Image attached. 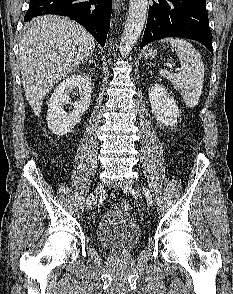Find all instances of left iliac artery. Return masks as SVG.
I'll use <instances>...</instances> for the list:
<instances>
[{
    "instance_id": "obj_1",
    "label": "left iliac artery",
    "mask_w": 233,
    "mask_h": 294,
    "mask_svg": "<svg viewBox=\"0 0 233 294\" xmlns=\"http://www.w3.org/2000/svg\"><path fill=\"white\" fill-rule=\"evenodd\" d=\"M143 192H144V194L146 196L148 205L149 206H152L153 200H152V196H151L149 190L147 188H143Z\"/></svg>"
}]
</instances>
